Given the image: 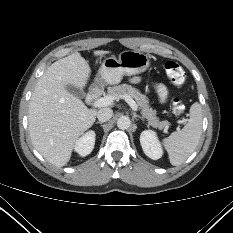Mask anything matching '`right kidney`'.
<instances>
[{"label": "right kidney", "instance_id": "ca27d5eb", "mask_svg": "<svg viewBox=\"0 0 233 233\" xmlns=\"http://www.w3.org/2000/svg\"><path fill=\"white\" fill-rule=\"evenodd\" d=\"M95 132L88 131L83 136H81L75 143V151L82 157L90 154L95 145Z\"/></svg>", "mask_w": 233, "mask_h": 233}]
</instances>
